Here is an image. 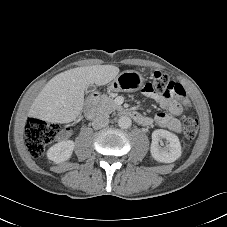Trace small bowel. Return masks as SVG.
Masks as SVG:
<instances>
[{"instance_id":"1","label":"small bowel","mask_w":227,"mask_h":227,"mask_svg":"<svg viewBox=\"0 0 227 227\" xmlns=\"http://www.w3.org/2000/svg\"><path fill=\"white\" fill-rule=\"evenodd\" d=\"M141 92L149 98L154 99L162 109L167 111L157 113L154 118L145 116L146 120L143 125L148 126L155 123L172 132H180L181 122L179 117L182 115L183 108L180 102L174 97V93L172 91H165L163 95H157L155 94V87L151 82H144L141 85ZM64 137L65 134L62 135V138Z\"/></svg>"}]
</instances>
